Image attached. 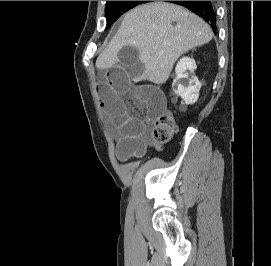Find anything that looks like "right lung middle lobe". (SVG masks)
<instances>
[{
  "label": "right lung middle lobe",
  "mask_w": 271,
  "mask_h": 266,
  "mask_svg": "<svg viewBox=\"0 0 271 266\" xmlns=\"http://www.w3.org/2000/svg\"><path fill=\"white\" fill-rule=\"evenodd\" d=\"M150 1H107L105 6V17L107 20L106 30L115 22L123 13L140 4Z\"/></svg>",
  "instance_id": "1"
}]
</instances>
